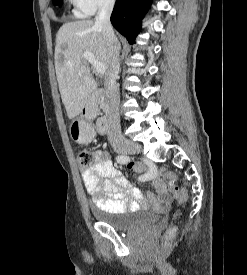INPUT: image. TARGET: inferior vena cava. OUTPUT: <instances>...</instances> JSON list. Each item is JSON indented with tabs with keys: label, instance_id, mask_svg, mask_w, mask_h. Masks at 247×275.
<instances>
[{
	"label": "inferior vena cava",
	"instance_id": "obj_1",
	"mask_svg": "<svg viewBox=\"0 0 247 275\" xmlns=\"http://www.w3.org/2000/svg\"><path fill=\"white\" fill-rule=\"evenodd\" d=\"M115 4V0H103L99 11L95 17V24L102 30V34L108 46L109 68L105 74V87L108 92V140L111 145L116 146L124 142L121 133L119 118V88L116 83L117 75L120 71L119 52L120 43L114 34L110 22V16Z\"/></svg>",
	"mask_w": 247,
	"mask_h": 275
}]
</instances>
